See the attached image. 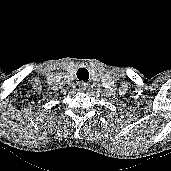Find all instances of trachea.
Returning <instances> with one entry per match:
<instances>
[{
    "mask_svg": "<svg viewBox=\"0 0 171 171\" xmlns=\"http://www.w3.org/2000/svg\"><path fill=\"white\" fill-rule=\"evenodd\" d=\"M77 78L80 80V81H86L89 79V72L87 69L85 68H80L78 71H77Z\"/></svg>",
    "mask_w": 171,
    "mask_h": 171,
    "instance_id": "3493384b",
    "label": "trachea"
}]
</instances>
